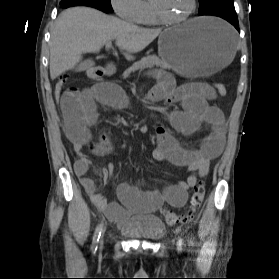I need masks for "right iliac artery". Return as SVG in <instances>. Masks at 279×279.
Here are the masks:
<instances>
[{
	"label": "right iliac artery",
	"instance_id": "82829eb1",
	"mask_svg": "<svg viewBox=\"0 0 279 279\" xmlns=\"http://www.w3.org/2000/svg\"><path fill=\"white\" fill-rule=\"evenodd\" d=\"M103 223L99 224L95 230L93 242H92V251L95 252L97 250V244L99 242L101 232H102Z\"/></svg>",
	"mask_w": 279,
	"mask_h": 279
}]
</instances>
